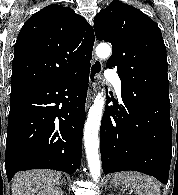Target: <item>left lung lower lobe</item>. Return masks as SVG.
Returning a JSON list of instances; mask_svg holds the SVG:
<instances>
[{"label": "left lung lower lobe", "mask_w": 178, "mask_h": 195, "mask_svg": "<svg viewBox=\"0 0 178 195\" xmlns=\"http://www.w3.org/2000/svg\"><path fill=\"white\" fill-rule=\"evenodd\" d=\"M121 97L119 111L107 106L101 121L103 172L139 171L167 184L172 157L170 105L122 89Z\"/></svg>", "instance_id": "left-lung-lower-lobe-1"}]
</instances>
